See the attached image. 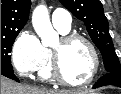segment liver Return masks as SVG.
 <instances>
[{
  "mask_svg": "<svg viewBox=\"0 0 121 94\" xmlns=\"http://www.w3.org/2000/svg\"><path fill=\"white\" fill-rule=\"evenodd\" d=\"M1 94H88L85 91L48 90L18 84L1 75Z\"/></svg>",
  "mask_w": 121,
  "mask_h": 94,
  "instance_id": "liver-1",
  "label": "liver"
}]
</instances>
